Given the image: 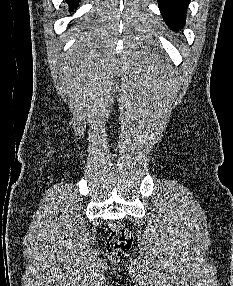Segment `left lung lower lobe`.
<instances>
[{"instance_id":"left-lung-lower-lobe-1","label":"left lung lower lobe","mask_w":233,"mask_h":286,"mask_svg":"<svg viewBox=\"0 0 233 286\" xmlns=\"http://www.w3.org/2000/svg\"><path fill=\"white\" fill-rule=\"evenodd\" d=\"M190 0H158L159 9L170 28L177 30L185 25Z\"/></svg>"}]
</instances>
